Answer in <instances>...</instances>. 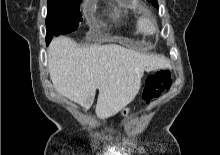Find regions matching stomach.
Returning a JSON list of instances; mask_svg holds the SVG:
<instances>
[{"instance_id":"0dacf381","label":"stomach","mask_w":220,"mask_h":155,"mask_svg":"<svg viewBox=\"0 0 220 155\" xmlns=\"http://www.w3.org/2000/svg\"><path fill=\"white\" fill-rule=\"evenodd\" d=\"M129 113H130V108H126L122 111L123 116H128Z\"/></svg>"}]
</instances>
